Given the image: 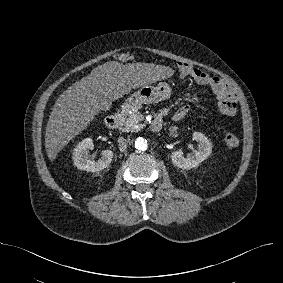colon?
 <instances>
[{"label":"colon","mask_w":283,"mask_h":283,"mask_svg":"<svg viewBox=\"0 0 283 283\" xmlns=\"http://www.w3.org/2000/svg\"><path fill=\"white\" fill-rule=\"evenodd\" d=\"M182 71H188L190 68L186 64H180ZM225 144L229 149H236L239 146V138L233 133H227L224 138Z\"/></svg>","instance_id":"colon-1"}]
</instances>
